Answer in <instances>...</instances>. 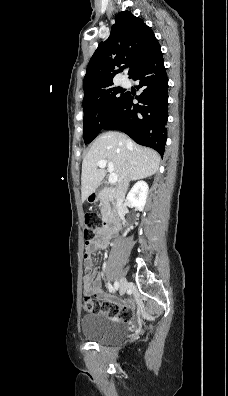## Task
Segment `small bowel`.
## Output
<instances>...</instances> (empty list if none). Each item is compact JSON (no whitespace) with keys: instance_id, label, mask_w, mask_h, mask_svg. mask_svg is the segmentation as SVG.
I'll return each instance as SVG.
<instances>
[{"instance_id":"obj_1","label":"small bowel","mask_w":228,"mask_h":396,"mask_svg":"<svg viewBox=\"0 0 228 396\" xmlns=\"http://www.w3.org/2000/svg\"><path fill=\"white\" fill-rule=\"evenodd\" d=\"M113 235L105 231V229H98L95 231L94 236L86 244L84 267L85 274L83 276V291L85 294H93L99 299H106L107 295L102 289V278L93 268L92 253L96 250L106 249ZM126 306H132V300H126L122 303Z\"/></svg>"}]
</instances>
